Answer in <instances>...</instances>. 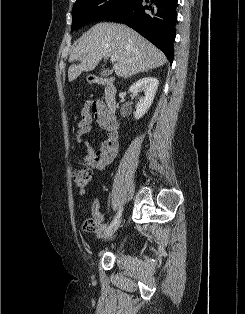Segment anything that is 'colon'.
Here are the masks:
<instances>
[{"mask_svg": "<svg viewBox=\"0 0 245 314\" xmlns=\"http://www.w3.org/2000/svg\"><path fill=\"white\" fill-rule=\"evenodd\" d=\"M92 179V171L88 167L76 169L73 173V181L80 192H84ZM98 221L95 218H87L83 222V229L89 232L96 230Z\"/></svg>", "mask_w": 245, "mask_h": 314, "instance_id": "5ec220e1", "label": "colon"}]
</instances>
